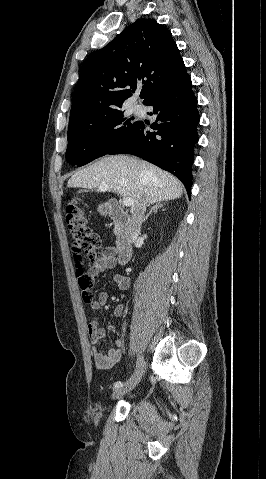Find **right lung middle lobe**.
<instances>
[{"label":"right lung middle lobe","instance_id":"dd1d6c3e","mask_svg":"<svg viewBox=\"0 0 266 479\" xmlns=\"http://www.w3.org/2000/svg\"><path fill=\"white\" fill-rule=\"evenodd\" d=\"M119 108L69 121L66 160L83 166L108 154L136 124Z\"/></svg>","mask_w":266,"mask_h":479}]
</instances>
